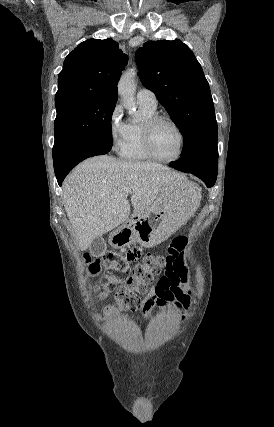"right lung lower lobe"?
<instances>
[{"label": "right lung lower lobe", "mask_w": 274, "mask_h": 427, "mask_svg": "<svg viewBox=\"0 0 274 427\" xmlns=\"http://www.w3.org/2000/svg\"><path fill=\"white\" fill-rule=\"evenodd\" d=\"M111 148H112V145H105V144H98V145L91 146V147L87 148L86 150L82 151L81 153L77 154L73 158H71L64 165H62L58 168H54L55 175H56L59 186H61L66 175L79 162L83 161L84 159H86L88 157L106 154L111 150Z\"/></svg>", "instance_id": "right-lung-lower-lobe-1"}]
</instances>
